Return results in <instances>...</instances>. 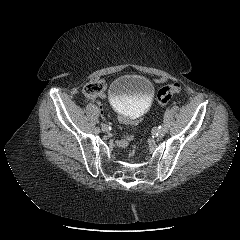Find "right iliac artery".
<instances>
[{"label": "right iliac artery", "mask_w": 240, "mask_h": 240, "mask_svg": "<svg viewBox=\"0 0 240 240\" xmlns=\"http://www.w3.org/2000/svg\"><path fill=\"white\" fill-rule=\"evenodd\" d=\"M94 129H95V130H94V131H95V133H97V134H98V133H100V131H101V130H100L101 128H100V126H98V125H97V126H95V128H94Z\"/></svg>", "instance_id": "1"}]
</instances>
